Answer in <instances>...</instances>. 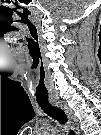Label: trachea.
<instances>
[{
    "instance_id": "1",
    "label": "trachea",
    "mask_w": 101,
    "mask_h": 135,
    "mask_svg": "<svg viewBox=\"0 0 101 135\" xmlns=\"http://www.w3.org/2000/svg\"><path fill=\"white\" fill-rule=\"evenodd\" d=\"M41 109L50 117L57 120L59 123L65 125L67 122V116L65 112L58 107L52 106L49 102L48 103H38ZM70 135H74V132L70 130Z\"/></svg>"
}]
</instances>
